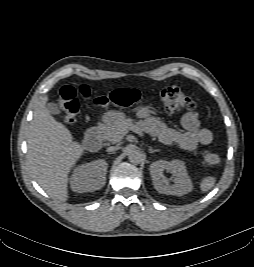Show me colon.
Wrapping results in <instances>:
<instances>
[{
    "instance_id": "colon-1",
    "label": "colon",
    "mask_w": 254,
    "mask_h": 267,
    "mask_svg": "<svg viewBox=\"0 0 254 267\" xmlns=\"http://www.w3.org/2000/svg\"><path fill=\"white\" fill-rule=\"evenodd\" d=\"M78 94L89 97L90 88L86 85L78 89L66 85L63 86L58 95V103L63 111L64 119L67 123H74L80 112V102ZM160 103L163 109L168 113L189 111L194 108V101L182 92L178 87L168 86L160 92ZM143 100V96L136 89H117L108 95L97 96L94 103L101 108L132 107ZM203 162L207 166H218L221 163V156L213 151H206L203 154Z\"/></svg>"
}]
</instances>
